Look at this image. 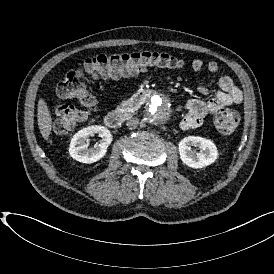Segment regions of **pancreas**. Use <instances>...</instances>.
I'll use <instances>...</instances> for the list:
<instances>
[{"label":"pancreas","instance_id":"1","mask_svg":"<svg viewBox=\"0 0 274 274\" xmlns=\"http://www.w3.org/2000/svg\"><path fill=\"white\" fill-rule=\"evenodd\" d=\"M120 107H125L128 109V112L135 113L139 109L140 105L133 98H130L128 100H124Z\"/></svg>","mask_w":274,"mask_h":274}]
</instances>
